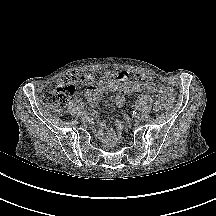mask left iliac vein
<instances>
[{
    "mask_svg": "<svg viewBox=\"0 0 216 216\" xmlns=\"http://www.w3.org/2000/svg\"><path fill=\"white\" fill-rule=\"evenodd\" d=\"M144 118V115L140 112H137V115L134 116L135 120H142Z\"/></svg>",
    "mask_w": 216,
    "mask_h": 216,
    "instance_id": "4c4485c4",
    "label": "left iliac vein"
}]
</instances>
